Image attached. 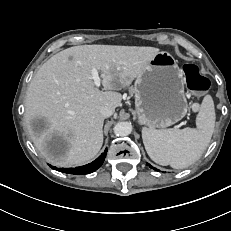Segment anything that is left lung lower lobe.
I'll list each match as a JSON object with an SVG mask.
<instances>
[{"label":"left lung lower lobe","instance_id":"left-lung-lower-lobe-1","mask_svg":"<svg viewBox=\"0 0 231 231\" xmlns=\"http://www.w3.org/2000/svg\"><path fill=\"white\" fill-rule=\"evenodd\" d=\"M147 165L150 167V168H153L149 163H147ZM154 170H157L156 168H153ZM159 171V170H157Z\"/></svg>","mask_w":231,"mask_h":231}]
</instances>
